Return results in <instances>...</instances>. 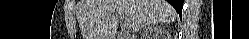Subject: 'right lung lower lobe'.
<instances>
[{
  "label": "right lung lower lobe",
  "mask_w": 249,
  "mask_h": 39,
  "mask_svg": "<svg viewBox=\"0 0 249 39\" xmlns=\"http://www.w3.org/2000/svg\"><path fill=\"white\" fill-rule=\"evenodd\" d=\"M167 1L175 8V10L181 16L184 1L183 0H167Z\"/></svg>",
  "instance_id": "98d812e1"
}]
</instances>
